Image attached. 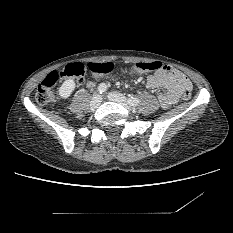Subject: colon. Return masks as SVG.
Listing matches in <instances>:
<instances>
[{"mask_svg":"<svg viewBox=\"0 0 233 233\" xmlns=\"http://www.w3.org/2000/svg\"><path fill=\"white\" fill-rule=\"evenodd\" d=\"M162 69L161 62H137L132 66V70L137 72H155ZM85 70L97 73L98 75H107L113 72L114 67L108 63H89L83 65L81 63H71L65 67L63 72L52 71L38 85L35 100L40 105H46L53 101L52 89L59 82L63 75L76 78L81 82L84 81L83 76ZM183 100L188 101L191 98V92L185 90L182 96Z\"/></svg>","mask_w":233,"mask_h":233,"instance_id":"colon-1","label":"colon"}]
</instances>
